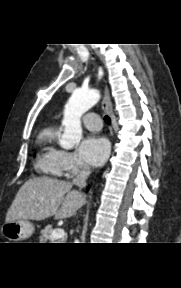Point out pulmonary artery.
Wrapping results in <instances>:
<instances>
[{"label":"pulmonary artery","mask_w":181,"mask_h":288,"mask_svg":"<svg viewBox=\"0 0 181 288\" xmlns=\"http://www.w3.org/2000/svg\"><path fill=\"white\" fill-rule=\"evenodd\" d=\"M84 126L91 131H99L101 129V120L98 114L87 113L83 119Z\"/></svg>","instance_id":"1"}]
</instances>
